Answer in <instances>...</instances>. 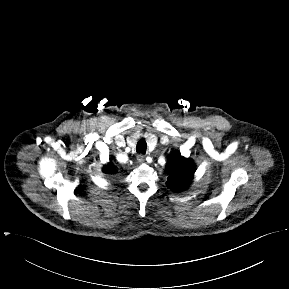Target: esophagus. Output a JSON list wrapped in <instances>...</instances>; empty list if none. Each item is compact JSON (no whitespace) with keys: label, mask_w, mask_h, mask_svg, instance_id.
I'll use <instances>...</instances> for the list:
<instances>
[{"label":"esophagus","mask_w":289,"mask_h":289,"mask_svg":"<svg viewBox=\"0 0 289 289\" xmlns=\"http://www.w3.org/2000/svg\"><path fill=\"white\" fill-rule=\"evenodd\" d=\"M137 160L139 163H144L145 162V156L143 154H139L137 156Z\"/></svg>","instance_id":"esophagus-1"}]
</instances>
